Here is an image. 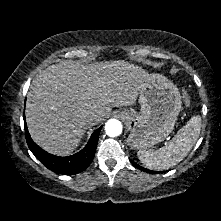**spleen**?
<instances>
[{
  "label": "spleen",
  "instance_id": "1",
  "mask_svg": "<svg viewBox=\"0 0 221 221\" xmlns=\"http://www.w3.org/2000/svg\"><path fill=\"white\" fill-rule=\"evenodd\" d=\"M201 129V117L193 116L172 138L168 145L137 152L141 163L154 170L169 169L182 161L196 143Z\"/></svg>",
  "mask_w": 221,
  "mask_h": 221
}]
</instances>
